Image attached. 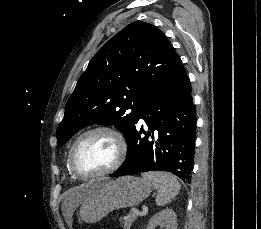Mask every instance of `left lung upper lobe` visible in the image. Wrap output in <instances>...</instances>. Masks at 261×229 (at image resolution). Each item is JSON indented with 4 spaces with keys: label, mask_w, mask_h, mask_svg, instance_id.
Wrapping results in <instances>:
<instances>
[{
    "label": "left lung upper lobe",
    "mask_w": 261,
    "mask_h": 229,
    "mask_svg": "<svg viewBox=\"0 0 261 229\" xmlns=\"http://www.w3.org/2000/svg\"><path fill=\"white\" fill-rule=\"evenodd\" d=\"M182 60L162 31L135 21L112 37L91 59L65 106L57 146L91 124H114L131 138L150 92Z\"/></svg>",
    "instance_id": "obj_1"
}]
</instances>
